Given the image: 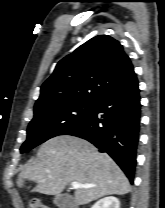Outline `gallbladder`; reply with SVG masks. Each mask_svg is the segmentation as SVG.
I'll use <instances>...</instances> for the list:
<instances>
[{"label":"gallbladder","instance_id":"gallbladder-1","mask_svg":"<svg viewBox=\"0 0 165 208\" xmlns=\"http://www.w3.org/2000/svg\"><path fill=\"white\" fill-rule=\"evenodd\" d=\"M53 202L58 208H77V203L69 194L56 195Z\"/></svg>","mask_w":165,"mask_h":208}]
</instances>
